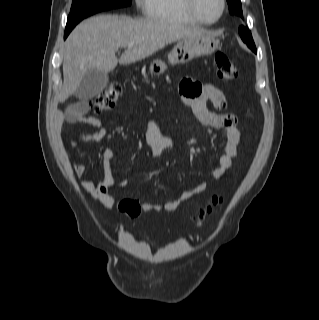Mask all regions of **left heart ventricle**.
I'll return each mask as SVG.
<instances>
[{"label":"left heart ventricle","mask_w":319,"mask_h":320,"mask_svg":"<svg viewBox=\"0 0 319 320\" xmlns=\"http://www.w3.org/2000/svg\"><path fill=\"white\" fill-rule=\"evenodd\" d=\"M220 8V0H196V9L206 20H214L218 17Z\"/></svg>","instance_id":"obj_1"}]
</instances>
